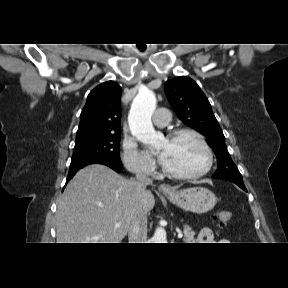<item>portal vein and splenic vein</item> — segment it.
Segmentation results:
<instances>
[{
    "instance_id": "portal-vein-and-splenic-vein-1",
    "label": "portal vein and splenic vein",
    "mask_w": 288,
    "mask_h": 288,
    "mask_svg": "<svg viewBox=\"0 0 288 288\" xmlns=\"http://www.w3.org/2000/svg\"><path fill=\"white\" fill-rule=\"evenodd\" d=\"M115 226H116V227H119L120 224L117 223V224H115ZM182 236H183L182 232H179V233H178V238H182Z\"/></svg>"
}]
</instances>
